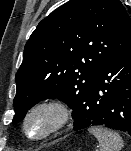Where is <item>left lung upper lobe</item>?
Returning a JSON list of instances; mask_svg holds the SVG:
<instances>
[{
  "instance_id": "1",
  "label": "left lung upper lobe",
  "mask_w": 131,
  "mask_h": 151,
  "mask_svg": "<svg viewBox=\"0 0 131 151\" xmlns=\"http://www.w3.org/2000/svg\"><path fill=\"white\" fill-rule=\"evenodd\" d=\"M131 46V18L119 0H70L44 18L17 71L13 124L38 102L58 98L74 123L104 65Z\"/></svg>"
}]
</instances>
